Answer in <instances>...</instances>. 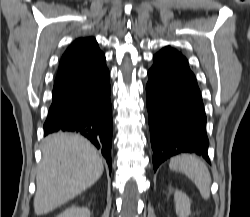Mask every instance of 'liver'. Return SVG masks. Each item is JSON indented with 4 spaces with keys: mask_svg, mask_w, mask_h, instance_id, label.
<instances>
[{
    "mask_svg": "<svg viewBox=\"0 0 250 217\" xmlns=\"http://www.w3.org/2000/svg\"><path fill=\"white\" fill-rule=\"evenodd\" d=\"M103 170L97 150L85 138L67 133L48 136L36 176L35 214H47L81 194Z\"/></svg>",
    "mask_w": 250,
    "mask_h": 217,
    "instance_id": "6515ba94",
    "label": "liver"
}]
</instances>
